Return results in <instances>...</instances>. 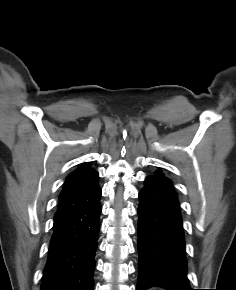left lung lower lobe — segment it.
Wrapping results in <instances>:
<instances>
[{
    "label": "left lung lower lobe",
    "mask_w": 236,
    "mask_h": 290,
    "mask_svg": "<svg viewBox=\"0 0 236 290\" xmlns=\"http://www.w3.org/2000/svg\"><path fill=\"white\" fill-rule=\"evenodd\" d=\"M137 290L152 286L192 290L185 257L179 201L171 181L148 176L139 193Z\"/></svg>",
    "instance_id": "obj_1"
}]
</instances>
